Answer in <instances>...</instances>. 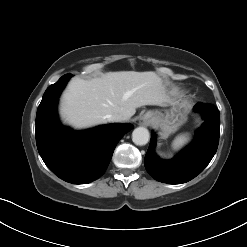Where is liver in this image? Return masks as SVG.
Here are the masks:
<instances>
[{
  "label": "liver",
  "instance_id": "liver-1",
  "mask_svg": "<svg viewBox=\"0 0 247 247\" xmlns=\"http://www.w3.org/2000/svg\"><path fill=\"white\" fill-rule=\"evenodd\" d=\"M169 102L160 77L152 71L108 72L99 78H74L62 96L60 112L75 128L107 122V115L129 119L136 109Z\"/></svg>",
  "mask_w": 247,
  "mask_h": 247
}]
</instances>
